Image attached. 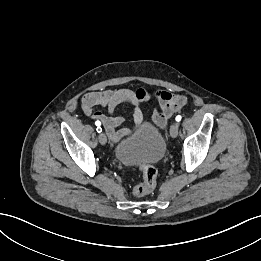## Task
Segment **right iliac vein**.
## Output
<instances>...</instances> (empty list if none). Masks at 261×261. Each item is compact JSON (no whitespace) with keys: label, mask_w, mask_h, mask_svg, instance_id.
<instances>
[{"label":"right iliac vein","mask_w":261,"mask_h":261,"mask_svg":"<svg viewBox=\"0 0 261 261\" xmlns=\"http://www.w3.org/2000/svg\"><path fill=\"white\" fill-rule=\"evenodd\" d=\"M98 139H99V142L102 144V145H105L106 142H107V137L104 133H100L99 136H98Z\"/></svg>","instance_id":"right-iliac-vein-1"}]
</instances>
